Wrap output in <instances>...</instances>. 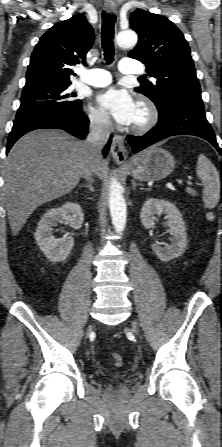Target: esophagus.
I'll return each instance as SVG.
<instances>
[{"instance_id":"obj_1","label":"esophagus","mask_w":222,"mask_h":447,"mask_svg":"<svg viewBox=\"0 0 222 447\" xmlns=\"http://www.w3.org/2000/svg\"><path fill=\"white\" fill-rule=\"evenodd\" d=\"M104 7L109 14H114L116 12V8L111 0H107L105 2ZM111 153L114 160L119 164L123 163L127 159L128 152L124 146L123 136L115 135L113 137L111 145Z\"/></svg>"}]
</instances>
